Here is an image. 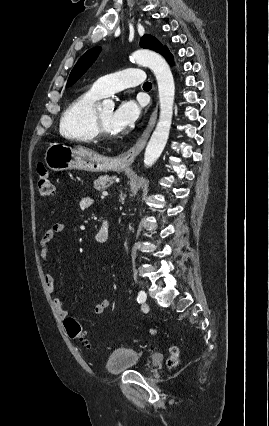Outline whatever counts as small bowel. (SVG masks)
I'll return each mask as SVG.
<instances>
[{"label": "small bowel", "mask_w": 269, "mask_h": 426, "mask_svg": "<svg viewBox=\"0 0 269 426\" xmlns=\"http://www.w3.org/2000/svg\"><path fill=\"white\" fill-rule=\"evenodd\" d=\"M92 205V200L88 197H84L81 199L80 206L81 208L85 209ZM65 230V225L61 222L54 223L51 225L46 232L43 234V236L40 239V256L44 265L45 274L44 279L46 283L47 290L50 293H53L55 291V282L54 277L49 269L48 265V259H49V253H50V247L52 240L61 235ZM53 304L54 307L59 315L60 318L65 319L69 316V312L65 308V303L62 297L55 296L53 298ZM110 302L108 299L103 298L100 301H98L94 305V313L97 316H100L104 314V312L109 308Z\"/></svg>", "instance_id": "1"}]
</instances>
